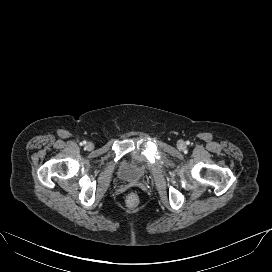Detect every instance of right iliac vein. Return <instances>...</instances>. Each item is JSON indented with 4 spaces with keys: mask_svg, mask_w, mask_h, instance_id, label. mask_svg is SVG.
Returning <instances> with one entry per match:
<instances>
[{
    "mask_svg": "<svg viewBox=\"0 0 272 272\" xmlns=\"http://www.w3.org/2000/svg\"><path fill=\"white\" fill-rule=\"evenodd\" d=\"M86 148H87V150H92V149L94 148L93 143L88 142V143L86 144Z\"/></svg>",
    "mask_w": 272,
    "mask_h": 272,
    "instance_id": "obj_1",
    "label": "right iliac vein"
}]
</instances>
